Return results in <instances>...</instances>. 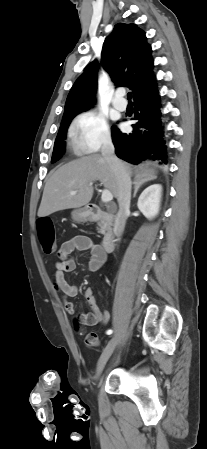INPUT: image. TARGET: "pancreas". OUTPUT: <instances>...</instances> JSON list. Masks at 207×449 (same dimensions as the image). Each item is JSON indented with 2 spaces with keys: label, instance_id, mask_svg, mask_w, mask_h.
<instances>
[{
  "label": "pancreas",
  "instance_id": "obj_1",
  "mask_svg": "<svg viewBox=\"0 0 207 449\" xmlns=\"http://www.w3.org/2000/svg\"><path fill=\"white\" fill-rule=\"evenodd\" d=\"M98 233L106 235L107 232L110 230V224L107 221L101 220L98 222Z\"/></svg>",
  "mask_w": 207,
  "mask_h": 449
}]
</instances>
